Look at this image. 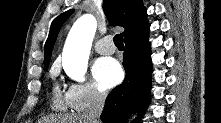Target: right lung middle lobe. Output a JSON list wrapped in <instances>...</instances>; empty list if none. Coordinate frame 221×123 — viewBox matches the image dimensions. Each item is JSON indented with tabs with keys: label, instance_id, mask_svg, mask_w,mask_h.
Segmentation results:
<instances>
[{
	"label": "right lung middle lobe",
	"instance_id": "right-lung-middle-lobe-1",
	"mask_svg": "<svg viewBox=\"0 0 221 123\" xmlns=\"http://www.w3.org/2000/svg\"><path fill=\"white\" fill-rule=\"evenodd\" d=\"M48 66H49V63L45 64V65H44V69L47 70V69H48Z\"/></svg>",
	"mask_w": 221,
	"mask_h": 123
}]
</instances>
